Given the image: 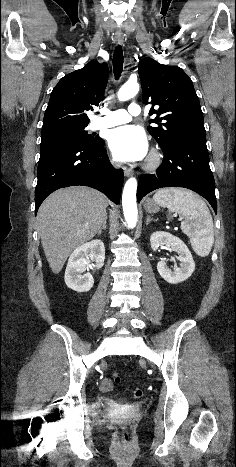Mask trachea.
I'll return each instance as SVG.
<instances>
[{
	"instance_id": "1",
	"label": "trachea",
	"mask_w": 236,
	"mask_h": 467,
	"mask_svg": "<svg viewBox=\"0 0 236 467\" xmlns=\"http://www.w3.org/2000/svg\"><path fill=\"white\" fill-rule=\"evenodd\" d=\"M123 70V51L122 47L118 45L114 50L113 55V72L115 79L118 80Z\"/></svg>"
}]
</instances>
